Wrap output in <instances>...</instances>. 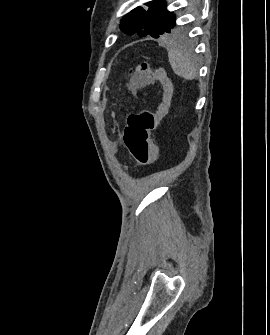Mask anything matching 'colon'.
I'll return each instance as SVG.
<instances>
[{
  "instance_id": "1",
  "label": "colon",
  "mask_w": 270,
  "mask_h": 335,
  "mask_svg": "<svg viewBox=\"0 0 270 335\" xmlns=\"http://www.w3.org/2000/svg\"><path fill=\"white\" fill-rule=\"evenodd\" d=\"M152 64H156L153 71L146 61L140 63L136 68L128 70L129 85L133 91H141L148 85L155 83V88H170V79H174V72H162V63L159 57H152ZM174 97L171 89H164L159 102L154 103L152 109L144 108L131 112L127 117V124L122 134L123 142L130 156L141 165L150 163H162L161 148H156V141H150V132L157 126V119H163L165 109H173Z\"/></svg>"
}]
</instances>
